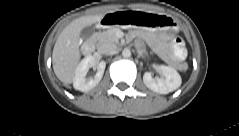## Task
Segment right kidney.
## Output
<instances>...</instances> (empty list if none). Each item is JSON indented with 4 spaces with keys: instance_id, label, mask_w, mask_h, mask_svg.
Returning a JSON list of instances; mask_svg holds the SVG:
<instances>
[{
    "instance_id": "ca27d5eb",
    "label": "right kidney",
    "mask_w": 239,
    "mask_h": 136,
    "mask_svg": "<svg viewBox=\"0 0 239 136\" xmlns=\"http://www.w3.org/2000/svg\"><path fill=\"white\" fill-rule=\"evenodd\" d=\"M91 67L97 68L94 77L87 78V72ZM106 63L104 61L96 62L92 55H87L77 66L73 80V87L81 92H87L94 88L101 81Z\"/></svg>"
}]
</instances>
